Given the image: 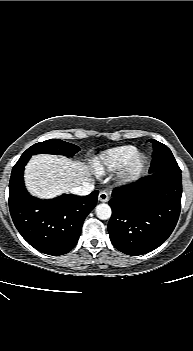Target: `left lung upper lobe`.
<instances>
[{
  "instance_id": "left-lung-upper-lobe-1",
  "label": "left lung upper lobe",
  "mask_w": 193,
  "mask_h": 351,
  "mask_svg": "<svg viewBox=\"0 0 193 351\" xmlns=\"http://www.w3.org/2000/svg\"><path fill=\"white\" fill-rule=\"evenodd\" d=\"M148 142L153 144V159L151 162L150 172H155L161 168L178 165L171 150L164 144L149 139Z\"/></svg>"
}]
</instances>
